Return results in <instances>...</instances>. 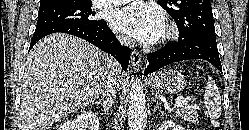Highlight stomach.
<instances>
[{
  "instance_id": "0dacf381",
  "label": "stomach",
  "mask_w": 249,
  "mask_h": 130,
  "mask_svg": "<svg viewBox=\"0 0 249 130\" xmlns=\"http://www.w3.org/2000/svg\"><path fill=\"white\" fill-rule=\"evenodd\" d=\"M152 89L165 94H175L181 92L186 80L184 76L172 69L161 70L150 78Z\"/></svg>"
}]
</instances>
